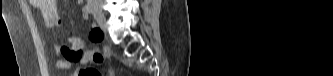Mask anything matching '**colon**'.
Wrapping results in <instances>:
<instances>
[{
  "mask_svg": "<svg viewBox=\"0 0 333 76\" xmlns=\"http://www.w3.org/2000/svg\"><path fill=\"white\" fill-rule=\"evenodd\" d=\"M81 76H101V74L98 71H94L91 68H83L80 69ZM108 75L113 76V71H109Z\"/></svg>",
  "mask_w": 333,
  "mask_h": 76,
  "instance_id": "colon-1",
  "label": "colon"
}]
</instances>
